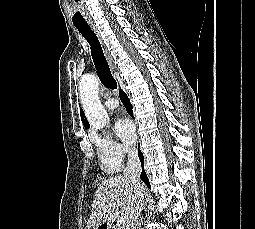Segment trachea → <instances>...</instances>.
<instances>
[{
    "label": "trachea",
    "instance_id": "obj_1",
    "mask_svg": "<svg viewBox=\"0 0 255 229\" xmlns=\"http://www.w3.org/2000/svg\"><path fill=\"white\" fill-rule=\"evenodd\" d=\"M74 26L90 44L92 59L101 83L111 90H116L117 82L111 74L108 62L96 34L87 22L74 23Z\"/></svg>",
    "mask_w": 255,
    "mask_h": 229
}]
</instances>
